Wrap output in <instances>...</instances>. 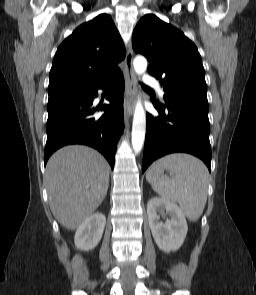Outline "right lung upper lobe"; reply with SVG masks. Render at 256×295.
<instances>
[{"label":"right lung upper lobe","instance_id":"obj_1","mask_svg":"<svg viewBox=\"0 0 256 295\" xmlns=\"http://www.w3.org/2000/svg\"><path fill=\"white\" fill-rule=\"evenodd\" d=\"M123 41L107 14L76 28L58 47L50 70L48 94L86 88L109 79L121 70Z\"/></svg>","mask_w":256,"mask_h":295}]
</instances>
